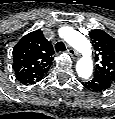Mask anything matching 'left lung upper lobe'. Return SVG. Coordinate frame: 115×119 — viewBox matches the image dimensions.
Instances as JSON below:
<instances>
[{
	"mask_svg": "<svg viewBox=\"0 0 115 119\" xmlns=\"http://www.w3.org/2000/svg\"><path fill=\"white\" fill-rule=\"evenodd\" d=\"M96 54L95 74L112 83L115 82V39L105 31L96 29L89 32Z\"/></svg>",
	"mask_w": 115,
	"mask_h": 119,
	"instance_id": "obj_1",
	"label": "left lung upper lobe"
}]
</instances>
